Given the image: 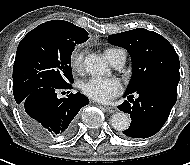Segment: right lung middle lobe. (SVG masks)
Wrapping results in <instances>:
<instances>
[{
  "mask_svg": "<svg viewBox=\"0 0 190 165\" xmlns=\"http://www.w3.org/2000/svg\"><path fill=\"white\" fill-rule=\"evenodd\" d=\"M88 33L72 34L54 24H41L19 43L13 66V94L20 104L42 87H64L73 82L71 54Z\"/></svg>",
  "mask_w": 190,
  "mask_h": 165,
  "instance_id": "dd1d6c3e",
  "label": "right lung middle lobe"
}]
</instances>
